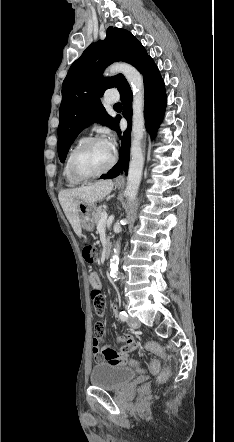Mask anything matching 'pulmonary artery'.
I'll list each match as a JSON object with an SVG mask.
<instances>
[{"instance_id": "1", "label": "pulmonary artery", "mask_w": 234, "mask_h": 442, "mask_svg": "<svg viewBox=\"0 0 234 442\" xmlns=\"http://www.w3.org/2000/svg\"><path fill=\"white\" fill-rule=\"evenodd\" d=\"M105 103L107 104H113L116 103L118 101V95L117 94H108L105 97Z\"/></svg>"}]
</instances>
